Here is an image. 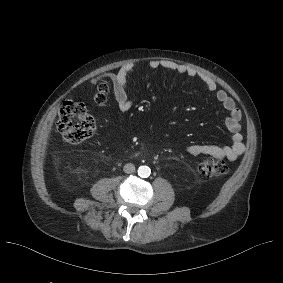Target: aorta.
I'll return each instance as SVG.
<instances>
[{
	"mask_svg": "<svg viewBox=\"0 0 283 283\" xmlns=\"http://www.w3.org/2000/svg\"><path fill=\"white\" fill-rule=\"evenodd\" d=\"M151 170L148 166H140L138 168V175L142 178H147L150 176Z\"/></svg>",
	"mask_w": 283,
	"mask_h": 283,
	"instance_id": "1",
	"label": "aorta"
}]
</instances>
